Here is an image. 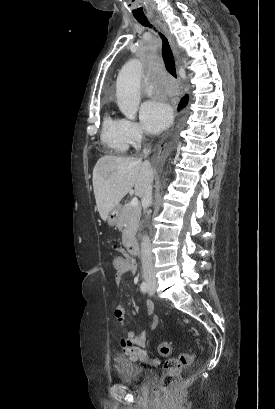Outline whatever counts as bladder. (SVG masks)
Instances as JSON below:
<instances>
[{
	"label": "bladder",
	"instance_id": "bladder-1",
	"mask_svg": "<svg viewBox=\"0 0 275 409\" xmlns=\"http://www.w3.org/2000/svg\"><path fill=\"white\" fill-rule=\"evenodd\" d=\"M116 380L123 384H130L139 389L155 381L157 374L149 368L139 366L135 362L121 361L117 363Z\"/></svg>",
	"mask_w": 275,
	"mask_h": 409
}]
</instances>
